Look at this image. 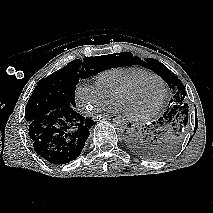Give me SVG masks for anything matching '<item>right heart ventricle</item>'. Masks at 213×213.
Listing matches in <instances>:
<instances>
[{
    "instance_id": "e07e8e85",
    "label": "right heart ventricle",
    "mask_w": 213,
    "mask_h": 213,
    "mask_svg": "<svg viewBox=\"0 0 213 213\" xmlns=\"http://www.w3.org/2000/svg\"><path fill=\"white\" fill-rule=\"evenodd\" d=\"M150 71L139 66H123L111 68L99 73L95 80L96 84L108 96L113 97L114 93L123 85L135 77L149 73Z\"/></svg>"
}]
</instances>
